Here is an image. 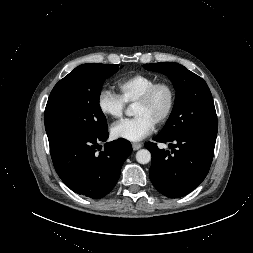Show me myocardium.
I'll use <instances>...</instances> for the list:
<instances>
[{
	"mask_svg": "<svg viewBox=\"0 0 253 253\" xmlns=\"http://www.w3.org/2000/svg\"><path fill=\"white\" fill-rule=\"evenodd\" d=\"M166 88L169 92V104L165 113L157 120L156 126H162L166 124L171 118L177 101L176 89L173 84L169 81H158L152 85L136 102L135 104L146 105L148 104L156 94V92L161 89Z\"/></svg>",
	"mask_w": 253,
	"mask_h": 253,
	"instance_id": "f54148a6",
	"label": "myocardium"
}]
</instances>
